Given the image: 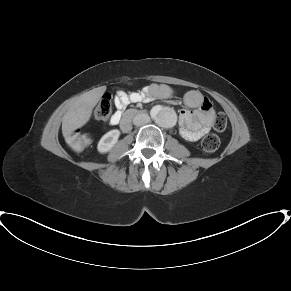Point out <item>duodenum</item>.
<instances>
[{
    "label": "duodenum",
    "instance_id": "duodenum-1",
    "mask_svg": "<svg viewBox=\"0 0 291 291\" xmlns=\"http://www.w3.org/2000/svg\"><path fill=\"white\" fill-rule=\"evenodd\" d=\"M145 113L144 110L139 109H129L126 110L123 114L122 121L120 124V128L123 132H128L130 130V121L132 118L136 116L143 115Z\"/></svg>",
    "mask_w": 291,
    "mask_h": 291
}]
</instances>
